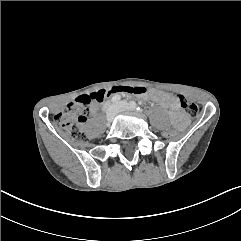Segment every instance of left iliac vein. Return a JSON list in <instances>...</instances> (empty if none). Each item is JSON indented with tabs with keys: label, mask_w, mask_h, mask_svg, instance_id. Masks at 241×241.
I'll use <instances>...</instances> for the list:
<instances>
[{
	"label": "left iliac vein",
	"mask_w": 241,
	"mask_h": 241,
	"mask_svg": "<svg viewBox=\"0 0 241 241\" xmlns=\"http://www.w3.org/2000/svg\"><path fill=\"white\" fill-rule=\"evenodd\" d=\"M118 107H119L120 111L132 110V107L124 101L119 102Z\"/></svg>",
	"instance_id": "left-iliac-vein-1"
}]
</instances>
